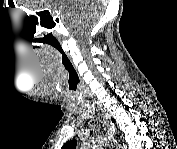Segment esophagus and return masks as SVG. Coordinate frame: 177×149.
Listing matches in <instances>:
<instances>
[{"label":"esophagus","mask_w":177,"mask_h":149,"mask_svg":"<svg viewBox=\"0 0 177 149\" xmlns=\"http://www.w3.org/2000/svg\"><path fill=\"white\" fill-rule=\"evenodd\" d=\"M98 111L100 113L102 122L106 125L108 130L111 131L114 134L116 129H115V127L112 123H109L108 116L105 114L104 110H102L101 107H98ZM111 146H112L113 149H115V148L119 149L118 148L119 144L117 143V141L113 137H112V140H111Z\"/></svg>","instance_id":"esophagus-1"}]
</instances>
